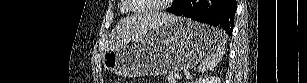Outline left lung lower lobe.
Listing matches in <instances>:
<instances>
[{"mask_svg":"<svg viewBox=\"0 0 307 83\" xmlns=\"http://www.w3.org/2000/svg\"><path fill=\"white\" fill-rule=\"evenodd\" d=\"M166 11L220 27L231 36L236 12V0H174L172 6Z\"/></svg>","mask_w":307,"mask_h":83,"instance_id":"0a47b994","label":"left lung lower lobe"}]
</instances>
